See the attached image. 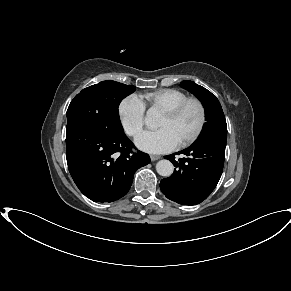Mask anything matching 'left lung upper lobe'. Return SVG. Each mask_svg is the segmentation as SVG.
Wrapping results in <instances>:
<instances>
[{"label": "left lung upper lobe", "instance_id": "5c2ea615", "mask_svg": "<svg viewBox=\"0 0 291 291\" xmlns=\"http://www.w3.org/2000/svg\"><path fill=\"white\" fill-rule=\"evenodd\" d=\"M181 87L194 94L205 108L206 123L197 140L205 138H227V124L220 102L206 88L193 81H182Z\"/></svg>", "mask_w": 291, "mask_h": 291}]
</instances>
